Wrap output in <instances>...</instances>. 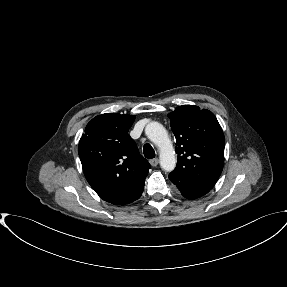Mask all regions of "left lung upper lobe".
<instances>
[{
    "instance_id": "1",
    "label": "left lung upper lobe",
    "mask_w": 287,
    "mask_h": 287,
    "mask_svg": "<svg viewBox=\"0 0 287 287\" xmlns=\"http://www.w3.org/2000/svg\"><path fill=\"white\" fill-rule=\"evenodd\" d=\"M176 139L177 166L169 179L181 193L207 194L224 165V134L212 112L182 105L168 115Z\"/></svg>"
}]
</instances>
